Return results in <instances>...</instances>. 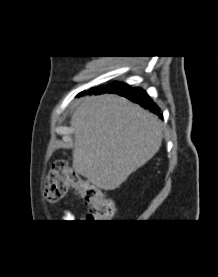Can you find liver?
I'll use <instances>...</instances> for the list:
<instances>
[{
	"mask_svg": "<svg viewBox=\"0 0 218 277\" xmlns=\"http://www.w3.org/2000/svg\"><path fill=\"white\" fill-rule=\"evenodd\" d=\"M73 169L100 189L114 190L162 144V123L117 95L84 97L72 114Z\"/></svg>",
	"mask_w": 218,
	"mask_h": 277,
	"instance_id": "1",
	"label": "liver"
}]
</instances>
